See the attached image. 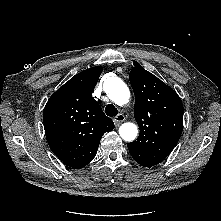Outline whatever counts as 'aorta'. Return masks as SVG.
<instances>
[{
    "label": "aorta",
    "mask_w": 221,
    "mask_h": 221,
    "mask_svg": "<svg viewBox=\"0 0 221 221\" xmlns=\"http://www.w3.org/2000/svg\"><path fill=\"white\" fill-rule=\"evenodd\" d=\"M104 91L115 104L124 105L129 101L130 91L118 77H109L103 85ZM138 128L133 123H124L119 128V135L125 141H133L137 137Z\"/></svg>",
    "instance_id": "1"
}]
</instances>
